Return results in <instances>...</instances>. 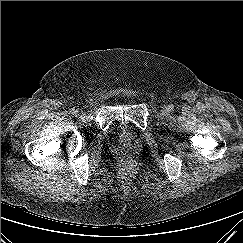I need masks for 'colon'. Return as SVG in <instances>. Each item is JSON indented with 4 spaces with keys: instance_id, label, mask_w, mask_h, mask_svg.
Returning a JSON list of instances; mask_svg holds the SVG:
<instances>
[{
    "instance_id": "5ec220e1",
    "label": "colon",
    "mask_w": 243,
    "mask_h": 243,
    "mask_svg": "<svg viewBox=\"0 0 243 243\" xmlns=\"http://www.w3.org/2000/svg\"><path fill=\"white\" fill-rule=\"evenodd\" d=\"M123 163H124V165H125L126 167H131V166H132V161H131L130 159H125V160L123 161Z\"/></svg>"
}]
</instances>
